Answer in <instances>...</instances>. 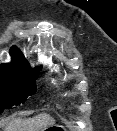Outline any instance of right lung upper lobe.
I'll list each match as a JSON object with an SVG mask.
<instances>
[{"mask_svg": "<svg viewBox=\"0 0 117 131\" xmlns=\"http://www.w3.org/2000/svg\"><path fill=\"white\" fill-rule=\"evenodd\" d=\"M10 55L12 56V62L0 64V69L20 68L30 76H36L39 73L40 67L31 68L22 52L16 46L10 49Z\"/></svg>", "mask_w": 117, "mask_h": 131, "instance_id": "obj_1", "label": "right lung upper lobe"}]
</instances>
